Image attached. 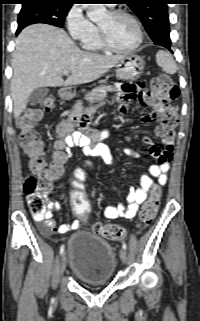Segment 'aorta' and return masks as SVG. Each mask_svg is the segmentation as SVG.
Here are the masks:
<instances>
[{"label": "aorta", "mask_w": 200, "mask_h": 321, "mask_svg": "<svg viewBox=\"0 0 200 321\" xmlns=\"http://www.w3.org/2000/svg\"><path fill=\"white\" fill-rule=\"evenodd\" d=\"M85 5L87 9V16L93 22H96L102 19L107 12V9L104 6V4H85Z\"/></svg>", "instance_id": "762f6f07"}]
</instances>
